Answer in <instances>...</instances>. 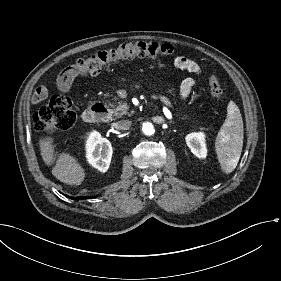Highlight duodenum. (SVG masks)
<instances>
[{
    "instance_id": "1",
    "label": "duodenum",
    "mask_w": 281,
    "mask_h": 281,
    "mask_svg": "<svg viewBox=\"0 0 281 281\" xmlns=\"http://www.w3.org/2000/svg\"><path fill=\"white\" fill-rule=\"evenodd\" d=\"M105 111L106 105L103 102L95 103L83 112V121L88 124L95 123L104 116Z\"/></svg>"
}]
</instances>
